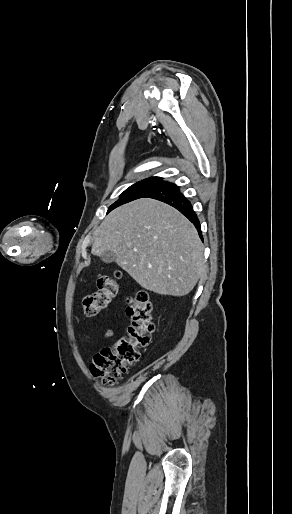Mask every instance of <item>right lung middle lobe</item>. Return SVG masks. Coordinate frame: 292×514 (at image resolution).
Instances as JSON below:
<instances>
[{
	"label": "right lung middle lobe",
	"instance_id": "obj_1",
	"mask_svg": "<svg viewBox=\"0 0 292 514\" xmlns=\"http://www.w3.org/2000/svg\"><path fill=\"white\" fill-rule=\"evenodd\" d=\"M161 182H163L161 177H150L135 183L120 195V198L110 206L108 211H111L122 204L142 198L149 190Z\"/></svg>",
	"mask_w": 292,
	"mask_h": 514
}]
</instances>
